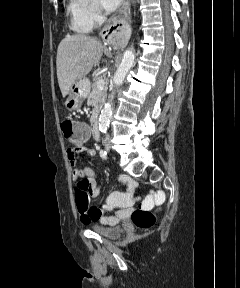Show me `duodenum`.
Listing matches in <instances>:
<instances>
[{
    "mask_svg": "<svg viewBox=\"0 0 240 288\" xmlns=\"http://www.w3.org/2000/svg\"><path fill=\"white\" fill-rule=\"evenodd\" d=\"M91 128L92 133L95 138H99L100 131H99V114L95 112L91 118Z\"/></svg>",
    "mask_w": 240,
    "mask_h": 288,
    "instance_id": "410a0bca",
    "label": "duodenum"
}]
</instances>
